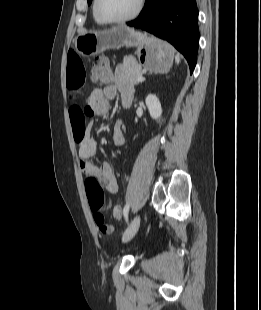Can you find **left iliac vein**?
Listing matches in <instances>:
<instances>
[{
  "instance_id": "4c4485c4",
  "label": "left iliac vein",
  "mask_w": 261,
  "mask_h": 310,
  "mask_svg": "<svg viewBox=\"0 0 261 310\" xmlns=\"http://www.w3.org/2000/svg\"><path fill=\"white\" fill-rule=\"evenodd\" d=\"M140 220H141L140 215H136L134 217L130 226L127 228V230L125 231L123 235V238H122L123 242H128L135 236L140 226Z\"/></svg>"
}]
</instances>
